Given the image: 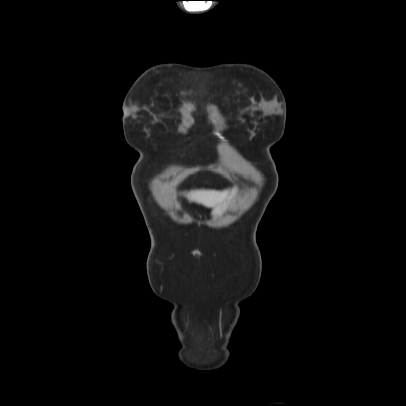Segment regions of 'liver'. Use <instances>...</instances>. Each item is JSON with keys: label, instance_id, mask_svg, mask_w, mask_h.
<instances>
[{"label": "liver", "instance_id": "6515ba94", "mask_svg": "<svg viewBox=\"0 0 406 406\" xmlns=\"http://www.w3.org/2000/svg\"><path fill=\"white\" fill-rule=\"evenodd\" d=\"M228 192L212 191V190H196L187 194L190 201L197 202L208 208H213L217 204L222 203L228 197Z\"/></svg>", "mask_w": 406, "mask_h": 406}]
</instances>
